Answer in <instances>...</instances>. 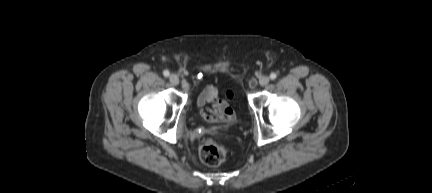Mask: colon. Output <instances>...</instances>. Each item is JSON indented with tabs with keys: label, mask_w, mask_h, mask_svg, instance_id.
I'll return each mask as SVG.
<instances>
[{
	"label": "colon",
	"mask_w": 432,
	"mask_h": 193,
	"mask_svg": "<svg viewBox=\"0 0 432 193\" xmlns=\"http://www.w3.org/2000/svg\"><path fill=\"white\" fill-rule=\"evenodd\" d=\"M231 96V93L227 94L228 98ZM199 156L206 165L218 166L227 159L228 148L219 141L207 140L200 146Z\"/></svg>",
	"instance_id": "1"
}]
</instances>
